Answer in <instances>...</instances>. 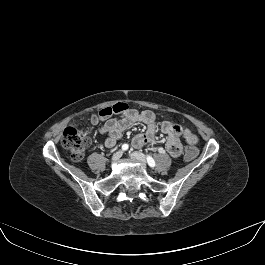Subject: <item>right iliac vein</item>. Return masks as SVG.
I'll return each instance as SVG.
<instances>
[{
    "instance_id": "1",
    "label": "right iliac vein",
    "mask_w": 265,
    "mask_h": 265,
    "mask_svg": "<svg viewBox=\"0 0 265 265\" xmlns=\"http://www.w3.org/2000/svg\"><path fill=\"white\" fill-rule=\"evenodd\" d=\"M122 156V152L121 151H117L116 153L113 154L112 156V161L116 162L118 161Z\"/></svg>"
}]
</instances>
